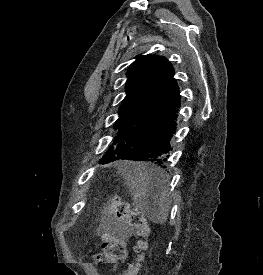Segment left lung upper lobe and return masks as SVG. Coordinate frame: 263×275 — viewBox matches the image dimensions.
I'll return each mask as SVG.
<instances>
[{"label": "left lung upper lobe", "mask_w": 263, "mask_h": 275, "mask_svg": "<svg viewBox=\"0 0 263 275\" xmlns=\"http://www.w3.org/2000/svg\"><path fill=\"white\" fill-rule=\"evenodd\" d=\"M171 65L165 57L158 55H138L127 71L126 97L119 108V119L114 129L130 117L145 96L155 88Z\"/></svg>", "instance_id": "1"}]
</instances>
